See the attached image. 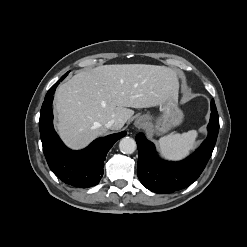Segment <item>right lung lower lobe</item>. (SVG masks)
<instances>
[{
    "mask_svg": "<svg viewBox=\"0 0 247 247\" xmlns=\"http://www.w3.org/2000/svg\"><path fill=\"white\" fill-rule=\"evenodd\" d=\"M59 81L48 91L43 102L39 129L44 155L52 172L64 183L76 187L96 185L104 173V160L114 143L126 132L98 138L87 148L72 151L60 140L53 128L52 101Z\"/></svg>",
    "mask_w": 247,
    "mask_h": 247,
    "instance_id": "1",
    "label": "right lung lower lobe"
}]
</instances>
